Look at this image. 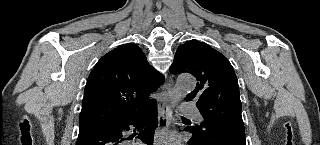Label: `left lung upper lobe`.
<instances>
[{
	"mask_svg": "<svg viewBox=\"0 0 320 145\" xmlns=\"http://www.w3.org/2000/svg\"><path fill=\"white\" fill-rule=\"evenodd\" d=\"M170 72L192 73L198 81L186 96L188 101H197L204 118L202 127H192L195 135L206 137L219 129L245 134L237 77L222 53L204 42L187 41L178 47Z\"/></svg>",
	"mask_w": 320,
	"mask_h": 145,
	"instance_id": "obj_1",
	"label": "left lung upper lobe"
}]
</instances>
